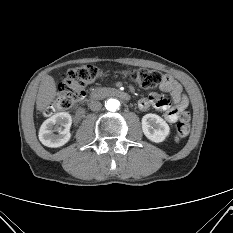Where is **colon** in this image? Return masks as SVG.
I'll list each match as a JSON object with an SVG mask.
<instances>
[{"label":"colon","mask_w":233,"mask_h":233,"mask_svg":"<svg viewBox=\"0 0 233 233\" xmlns=\"http://www.w3.org/2000/svg\"><path fill=\"white\" fill-rule=\"evenodd\" d=\"M125 75L143 88H154L162 81L160 72L144 68L127 70ZM103 77V71L93 65H84L67 70L62 76V83L55 101L46 108L45 114L50 116L58 111L73 108L82 99L85 88L100 81ZM189 131L190 114L184 112L176 127V140L187 136Z\"/></svg>","instance_id":"obj_1"}]
</instances>
